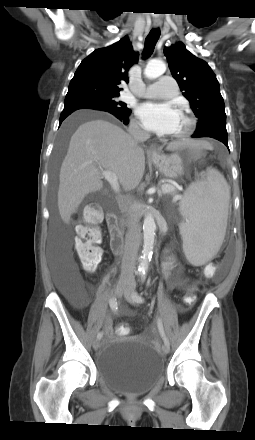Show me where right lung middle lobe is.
<instances>
[{
    "label": "right lung middle lobe",
    "instance_id": "dd1d6c3e",
    "mask_svg": "<svg viewBox=\"0 0 255 440\" xmlns=\"http://www.w3.org/2000/svg\"><path fill=\"white\" fill-rule=\"evenodd\" d=\"M118 96L119 94L90 93L79 97L65 98L64 105L74 104V103H85V104L102 105L107 108L114 109L116 111L123 113L131 112L130 109L126 107L125 103L116 100ZM66 136L67 133H64L60 145L65 144Z\"/></svg>",
    "mask_w": 255,
    "mask_h": 440
}]
</instances>
